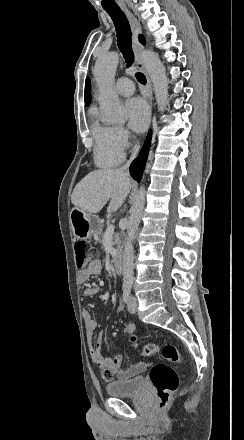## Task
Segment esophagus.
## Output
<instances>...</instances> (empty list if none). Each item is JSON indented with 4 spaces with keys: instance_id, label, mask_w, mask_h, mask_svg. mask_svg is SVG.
I'll return each instance as SVG.
<instances>
[{
    "instance_id": "34e87169",
    "label": "esophagus",
    "mask_w": 244,
    "mask_h": 440,
    "mask_svg": "<svg viewBox=\"0 0 244 440\" xmlns=\"http://www.w3.org/2000/svg\"><path fill=\"white\" fill-rule=\"evenodd\" d=\"M123 10L126 13L128 20H129V23L131 25V30L133 33V50H134L135 56H136L137 67L140 68V70L144 73V75L146 77L147 85H146L145 96L150 103V107L152 108V102H153L152 81H151L149 74L143 64V61H142L143 45L140 44V42L138 41V36H139V34L142 33V28H141V25L138 22V20L135 18V16L127 8H123Z\"/></svg>"
}]
</instances>
